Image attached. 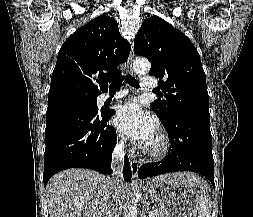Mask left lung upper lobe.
<instances>
[{"label":"left lung upper lobe","mask_w":253,"mask_h":217,"mask_svg":"<svg viewBox=\"0 0 253 217\" xmlns=\"http://www.w3.org/2000/svg\"><path fill=\"white\" fill-rule=\"evenodd\" d=\"M137 55L151 62L165 99L151 103L162 122L180 112L209 114L206 77L199 53L189 38L158 16L145 19L134 40Z\"/></svg>","instance_id":"1"}]
</instances>
